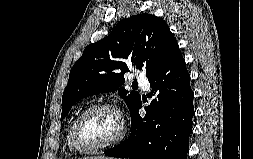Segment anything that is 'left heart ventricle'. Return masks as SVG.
I'll return each instance as SVG.
<instances>
[{
    "instance_id": "1",
    "label": "left heart ventricle",
    "mask_w": 253,
    "mask_h": 159,
    "mask_svg": "<svg viewBox=\"0 0 253 159\" xmlns=\"http://www.w3.org/2000/svg\"><path fill=\"white\" fill-rule=\"evenodd\" d=\"M119 130V121L109 109L89 113L79 128V142L83 147H95L114 138Z\"/></svg>"
}]
</instances>
